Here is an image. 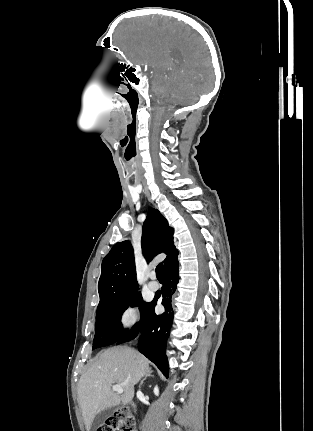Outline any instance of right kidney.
I'll use <instances>...</instances> for the list:
<instances>
[{
    "label": "right kidney",
    "instance_id": "right-kidney-1",
    "mask_svg": "<svg viewBox=\"0 0 313 431\" xmlns=\"http://www.w3.org/2000/svg\"><path fill=\"white\" fill-rule=\"evenodd\" d=\"M154 394L156 395V396H158L159 395V389H158V387L156 386L155 388H154Z\"/></svg>",
    "mask_w": 313,
    "mask_h": 431
}]
</instances>
